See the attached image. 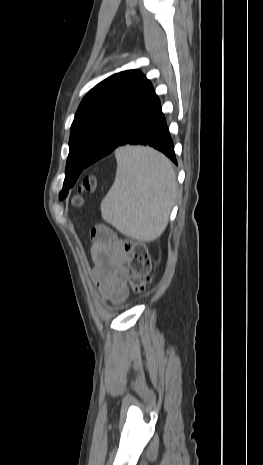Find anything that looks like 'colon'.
<instances>
[{
  "mask_svg": "<svg viewBox=\"0 0 263 465\" xmlns=\"http://www.w3.org/2000/svg\"><path fill=\"white\" fill-rule=\"evenodd\" d=\"M96 188L97 178L94 175L86 176L79 187V194L74 198V203L80 205L83 201L81 194L93 192ZM123 253L129 258L130 288L135 293L144 292L151 274V258L147 246L142 242L129 240L124 243Z\"/></svg>",
  "mask_w": 263,
  "mask_h": 465,
  "instance_id": "5ec220e1",
  "label": "colon"
}]
</instances>
